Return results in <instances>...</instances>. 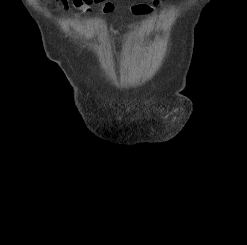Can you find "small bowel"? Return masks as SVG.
Returning <instances> with one entry per match:
<instances>
[{
  "label": "small bowel",
  "instance_id": "1",
  "mask_svg": "<svg viewBox=\"0 0 247 245\" xmlns=\"http://www.w3.org/2000/svg\"><path fill=\"white\" fill-rule=\"evenodd\" d=\"M58 2L64 9H67L69 4L72 3L75 8L83 12H87L89 10V6L94 2V0H58ZM158 2L159 0H153V5H134L132 7V12L137 15L150 13L153 10L154 5Z\"/></svg>",
  "mask_w": 247,
  "mask_h": 245
}]
</instances>
